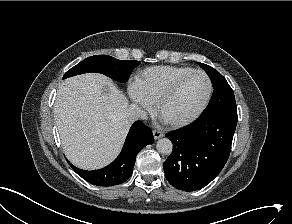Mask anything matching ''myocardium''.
<instances>
[{
	"instance_id": "f54148a6",
	"label": "myocardium",
	"mask_w": 292,
	"mask_h": 224,
	"mask_svg": "<svg viewBox=\"0 0 292 224\" xmlns=\"http://www.w3.org/2000/svg\"><path fill=\"white\" fill-rule=\"evenodd\" d=\"M203 75L208 82V91H207V95L203 101V103L200 105V107L189 117L185 118V119H181L178 121H165L164 122L172 127V128H180V127H184L190 123H192L193 121H195L198 117H200V115L206 110L207 106L210 103L212 94H213V82L210 78V76L203 70H194L192 72H189L185 75H183L182 77H180L177 81H175L165 92H163L159 98L156 101V113L159 117H161V109L163 107V105L170 100L177 92L178 90L181 88V86L192 76L194 75Z\"/></svg>"
}]
</instances>
